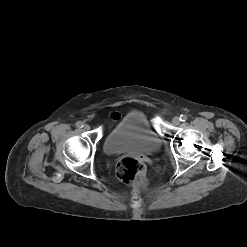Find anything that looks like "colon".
<instances>
[{
    "instance_id": "5ec220e1",
    "label": "colon",
    "mask_w": 247,
    "mask_h": 247,
    "mask_svg": "<svg viewBox=\"0 0 247 247\" xmlns=\"http://www.w3.org/2000/svg\"><path fill=\"white\" fill-rule=\"evenodd\" d=\"M117 177L124 183L144 186L146 184V170L144 163L135 157H125L116 167Z\"/></svg>"
}]
</instances>
